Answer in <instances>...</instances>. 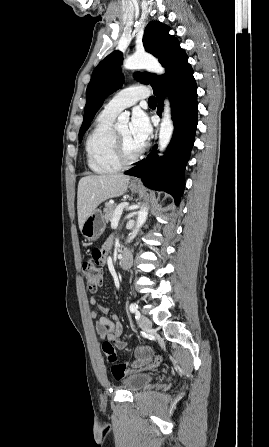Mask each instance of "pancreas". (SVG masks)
<instances>
[{"instance_id":"1","label":"pancreas","mask_w":269,"mask_h":447,"mask_svg":"<svg viewBox=\"0 0 269 447\" xmlns=\"http://www.w3.org/2000/svg\"><path fill=\"white\" fill-rule=\"evenodd\" d=\"M115 210L116 204H106L104 208L106 222H111Z\"/></svg>"}]
</instances>
